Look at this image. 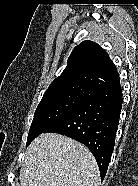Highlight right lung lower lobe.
<instances>
[{
	"label": "right lung lower lobe",
	"instance_id": "1",
	"mask_svg": "<svg viewBox=\"0 0 138 186\" xmlns=\"http://www.w3.org/2000/svg\"><path fill=\"white\" fill-rule=\"evenodd\" d=\"M122 100L120 86L92 90L86 102L46 131L65 135L86 145L97 161L101 180L106 175L114 149Z\"/></svg>",
	"mask_w": 138,
	"mask_h": 186
}]
</instances>
